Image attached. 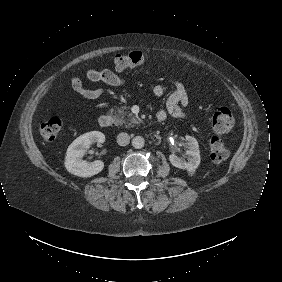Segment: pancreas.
<instances>
[{
    "mask_svg": "<svg viewBox=\"0 0 282 282\" xmlns=\"http://www.w3.org/2000/svg\"><path fill=\"white\" fill-rule=\"evenodd\" d=\"M128 106H122L117 108V123L119 125H132L139 124L142 122L141 119H137L130 111Z\"/></svg>",
    "mask_w": 282,
    "mask_h": 282,
    "instance_id": "pancreas-1",
    "label": "pancreas"
}]
</instances>
